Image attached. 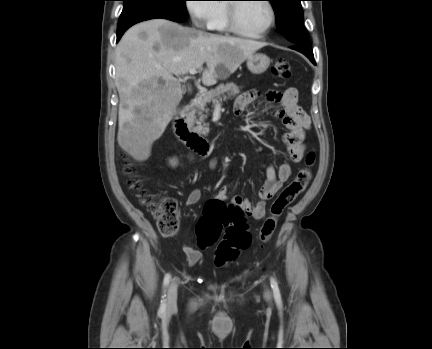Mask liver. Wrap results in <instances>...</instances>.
<instances>
[{"label":"liver","instance_id":"obj_1","mask_svg":"<svg viewBox=\"0 0 432 349\" xmlns=\"http://www.w3.org/2000/svg\"><path fill=\"white\" fill-rule=\"evenodd\" d=\"M266 45L165 19L131 27L115 50L119 146L138 161L150 156L152 144L162 136L182 99L180 83L173 75L200 69L206 63L202 83L211 86L219 77L217 66L229 75Z\"/></svg>","mask_w":432,"mask_h":349}]
</instances>
